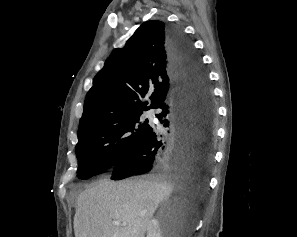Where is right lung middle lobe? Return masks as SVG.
I'll list each match as a JSON object with an SVG mask.
<instances>
[{
  "label": "right lung middle lobe",
  "instance_id": "dd1d6c3e",
  "mask_svg": "<svg viewBox=\"0 0 297 237\" xmlns=\"http://www.w3.org/2000/svg\"><path fill=\"white\" fill-rule=\"evenodd\" d=\"M150 130L142 112L111 117L85 129L78 134L76 145L78 177L87 179L113 169L145 139Z\"/></svg>",
  "mask_w": 297,
  "mask_h": 237
}]
</instances>
